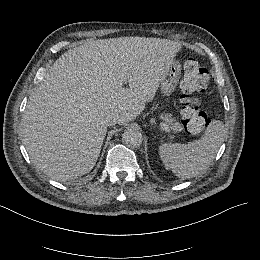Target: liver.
I'll return each instance as SVG.
<instances>
[{
    "label": "liver",
    "instance_id": "obj_1",
    "mask_svg": "<svg viewBox=\"0 0 260 260\" xmlns=\"http://www.w3.org/2000/svg\"><path fill=\"white\" fill-rule=\"evenodd\" d=\"M180 48L167 39L130 36L89 40L65 52L24 110L20 132L32 163L58 181L89 173L107 132L106 117L116 114L119 125L134 120Z\"/></svg>",
    "mask_w": 260,
    "mask_h": 260
}]
</instances>
